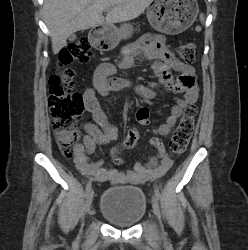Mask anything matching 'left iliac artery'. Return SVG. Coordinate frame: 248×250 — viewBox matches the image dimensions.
Here are the masks:
<instances>
[{
    "instance_id": "obj_1",
    "label": "left iliac artery",
    "mask_w": 248,
    "mask_h": 250,
    "mask_svg": "<svg viewBox=\"0 0 248 250\" xmlns=\"http://www.w3.org/2000/svg\"><path fill=\"white\" fill-rule=\"evenodd\" d=\"M154 192H155L156 197H157L158 199H160V198H161V195H160L159 189H158L157 187H155Z\"/></svg>"
}]
</instances>
